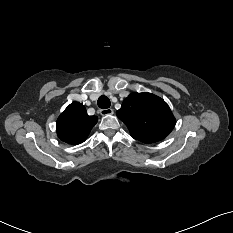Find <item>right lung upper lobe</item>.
I'll return each mask as SVG.
<instances>
[{
	"instance_id": "obj_1",
	"label": "right lung upper lobe",
	"mask_w": 233,
	"mask_h": 233,
	"mask_svg": "<svg viewBox=\"0 0 233 233\" xmlns=\"http://www.w3.org/2000/svg\"><path fill=\"white\" fill-rule=\"evenodd\" d=\"M97 121L96 116L87 114L82 104L72 102L57 120V135L68 144H80L86 140Z\"/></svg>"
}]
</instances>
